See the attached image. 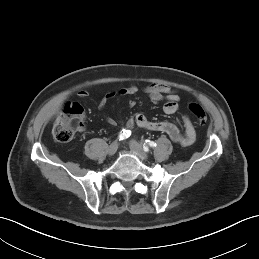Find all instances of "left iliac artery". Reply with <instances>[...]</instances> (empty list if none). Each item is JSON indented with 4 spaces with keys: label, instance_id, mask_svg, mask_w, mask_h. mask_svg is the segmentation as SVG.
Instances as JSON below:
<instances>
[{
    "label": "left iliac artery",
    "instance_id": "left-iliac-artery-1",
    "mask_svg": "<svg viewBox=\"0 0 259 259\" xmlns=\"http://www.w3.org/2000/svg\"><path fill=\"white\" fill-rule=\"evenodd\" d=\"M146 143H144V151H148L149 147H156V143L154 141L146 140Z\"/></svg>",
    "mask_w": 259,
    "mask_h": 259
}]
</instances>
